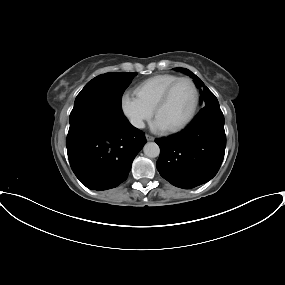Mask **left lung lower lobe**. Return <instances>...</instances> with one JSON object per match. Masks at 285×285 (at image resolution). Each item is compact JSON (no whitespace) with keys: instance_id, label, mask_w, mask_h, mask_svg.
Instances as JSON below:
<instances>
[{"instance_id":"1","label":"left lung lower lobe","mask_w":285,"mask_h":285,"mask_svg":"<svg viewBox=\"0 0 285 285\" xmlns=\"http://www.w3.org/2000/svg\"><path fill=\"white\" fill-rule=\"evenodd\" d=\"M155 142L160 147L156 166L164 179L183 189L204 184L216 175L224 158L223 113L206 111L182 132Z\"/></svg>"}]
</instances>
